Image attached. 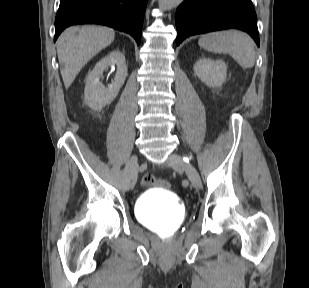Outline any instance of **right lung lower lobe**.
<instances>
[{
    "instance_id": "right-lung-lower-lobe-1",
    "label": "right lung lower lobe",
    "mask_w": 309,
    "mask_h": 288,
    "mask_svg": "<svg viewBox=\"0 0 309 288\" xmlns=\"http://www.w3.org/2000/svg\"><path fill=\"white\" fill-rule=\"evenodd\" d=\"M147 2L148 0H60L55 19L54 42L68 26L95 23L129 33L139 44Z\"/></svg>"
}]
</instances>
